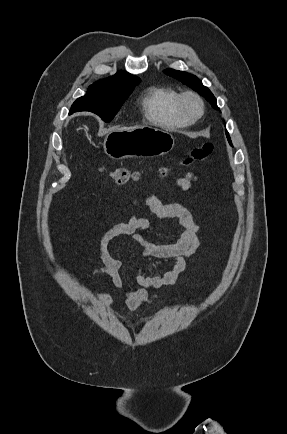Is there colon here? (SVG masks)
<instances>
[{
  "label": "colon",
  "instance_id": "obj_1",
  "mask_svg": "<svg viewBox=\"0 0 287 434\" xmlns=\"http://www.w3.org/2000/svg\"><path fill=\"white\" fill-rule=\"evenodd\" d=\"M212 145L210 143H204L202 145L194 147L189 156L183 161L185 166L191 165L194 162L205 161L212 153ZM168 174L166 169L162 170L161 175ZM109 177L115 182L126 185L132 182L139 181L141 179V172L129 167H117L108 171Z\"/></svg>",
  "mask_w": 287,
  "mask_h": 434
}]
</instances>
